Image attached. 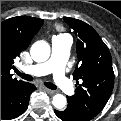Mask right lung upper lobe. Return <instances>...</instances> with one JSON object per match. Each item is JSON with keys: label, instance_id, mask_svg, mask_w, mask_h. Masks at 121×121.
Returning <instances> with one entry per match:
<instances>
[{"label": "right lung upper lobe", "instance_id": "cb5924a9", "mask_svg": "<svg viewBox=\"0 0 121 121\" xmlns=\"http://www.w3.org/2000/svg\"><path fill=\"white\" fill-rule=\"evenodd\" d=\"M42 24V19L30 16L13 17L1 22V95L25 83L12 78L10 70L14 59L29 46Z\"/></svg>", "mask_w": 121, "mask_h": 121}]
</instances>
